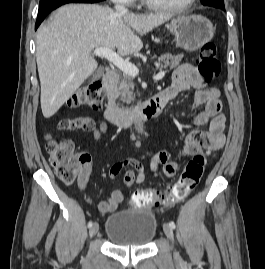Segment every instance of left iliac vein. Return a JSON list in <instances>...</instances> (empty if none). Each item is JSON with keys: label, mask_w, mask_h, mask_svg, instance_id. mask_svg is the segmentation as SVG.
I'll return each mask as SVG.
<instances>
[{"label": "left iliac vein", "mask_w": 265, "mask_h": 269, "mask_svg": "<svg viewBox=\"0 0 265 269\" xmlns=\"http://www.w3.org/2000/svg\"><path fill=\"white\" fill-rule=\"evenodd\" d=\"M163 230H164V233L167 236V238L173 242L174 233H173L172 227L169 224H164ZM175 256L179 257V254L177 252H175Z\"/></svg>", "instance_id": "1"}]
</instances>
